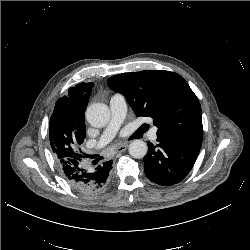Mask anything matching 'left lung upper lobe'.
Instances as JSON below:
<instances>
[{"mask_svg": "<svg viewBox=\"0 0 250 250\" xmlns=\"http://www.w3.org/2000/svg\"><path fill=\"white\" fill-rule=\"evenodd\" d=\"M107 82L126 97L137 116L154 120L158 138L202 143L201 106L180 75L146 70L118 74Z\"/></svg>", "mask_w": 250, "mask_h": 250, "instance_id": "obj_1", "label": "left lung upper lobe"}]
</instances>
